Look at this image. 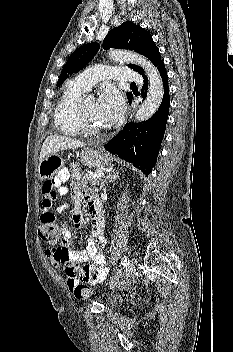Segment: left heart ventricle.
Returning a JSON list of instances; mask_svg holds the SVG:
<instances>
[{
    "instance_id": "left-heart-ventricle-1",
    "label": "left heart ventricle",
    "mask_w": 233,
    "mask_h": 352,
    "mask_svg": "<svg viewBox=\"0 0 233 352\" xmlns=\"http://www.w3.org/2000/svg\"><path fill=\"white\" fill-rule=\"evenodd\" d=\"M82 105L89 124L98 128H103L104 126L101 123V120L99 119L97 114L96 101L92 99H87L82 103Z\"/></svg>"
}]
</instances>
